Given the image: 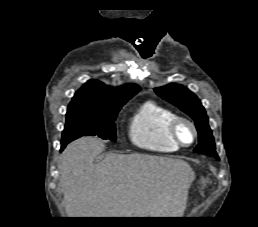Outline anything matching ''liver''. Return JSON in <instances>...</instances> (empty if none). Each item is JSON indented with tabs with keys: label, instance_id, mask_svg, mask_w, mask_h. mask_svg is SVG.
<instances>
[{
	"label": "liver",
	"instance_id": "6515ba94",
	"mask_svg": "<svg viewBox=\"0 0 258 227\" xmlns=\"http://www.w3.org/2000/svg\"><path fill=\"white\" fill-rule=\"evenodd\" d=\"M82 137L61 155L59 186L69 217H180L195 179L183 160L145 154H107Z\"/></svg>",
	"mask_w": 258,
	"mask_h": 227
}]
</instances>
